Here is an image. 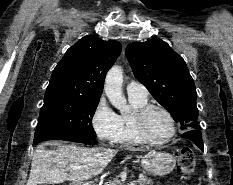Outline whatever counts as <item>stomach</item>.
Segmentation results:
<instances>
[{"mask_svg":"<svg viewBox=\"0 0 233 185\" xmlns=\"http://www.w3.org/2000/svg\"><path fill=\"white\" fill-rule=\"evenodd\" d=\"M176 160L168 152L150 151L141 159V165L145 172L157 176L169 174L175 168ZM77 185H89L87 183H79Z\"/></svg>","mask_w":233,"mask_h":185,"instance_id":"obj_1","label":"stomach"}]
</instances>
